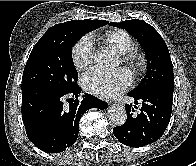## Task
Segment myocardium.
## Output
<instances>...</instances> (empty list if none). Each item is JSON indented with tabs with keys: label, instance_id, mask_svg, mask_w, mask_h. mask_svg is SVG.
<instances>
[{
	"label": "myocardium",
	"instance_id": "f54148a6",
	"mask_svg": "<svg viewBox=\"0 0 196 166\" xmlns=\"http://www.w3.org/2000/svg\"><path fill=\"white\" fill-rule=\"evenodd\" d=\"M121 60L135 70H140L145 65L144 54L136 49H132L128 53L121 55Z\"/></svg>",
	"mask_w": 196,
	"mask_h": 166
}]
</instances>
